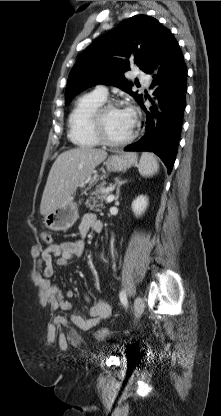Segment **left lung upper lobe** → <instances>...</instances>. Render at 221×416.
<instances>
[{"instance_id":"left-lung-upper-lobe-1","label":"left lung upper lobe","mask_w":221,"mask_h":416,"mask_svg":"<svg viewBox=\"0 0 221 416\" xmlns=\"http://www.w3.org/2000/svg\"><path fill=\"white\" fill-rule=\"evenodd\" d=\"M167 31L155 18L136 15L98 38L73 66L67 82L65 104L94 84L114 85L140 103L143 96L132 91V83L124 73L133 63L147 73Z\"/></svg>"}]
</instances>
